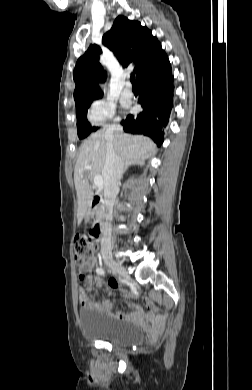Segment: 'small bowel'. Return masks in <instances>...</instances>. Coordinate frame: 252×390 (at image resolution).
<instances>
[{
	"label": "small bowel",
	"instance_id": "obj_1",
	"mask_svg": "<svg viewBox=\"0 0 252 390\" xmlns=\"http://www.w3.org/2000/svg\"><path fill=\"white\" fill-rule=\"evenodd\" d=\"M98 260L95 257H92L80 270L82 273H89L95 266H97ZM82 280L85 281L86 285L89 287L94 284L98 289H105L109 297L112 296V289L118 287V283L115 280H109L108 282L100 276H96L94 280L90 275H86ZM123 296L131 295L127 290H122ZM79 301L82 307L86 309H93L99 313L106 314L112 318L118 320H127L133 322H139L142 324H150V330L152 333H161L164 329L165 318L158 317L157 306L152 302L148 297L144 298L146 309L140 305L130 303L129 306L133 308V313L130 315L123 314L121 312H112L113 302L110 299L107 300H93L86 293L81 290L79 295Z\"/></svg>",
	"mask_w": 252,
	"mask_h": 390
}]
</instances>
